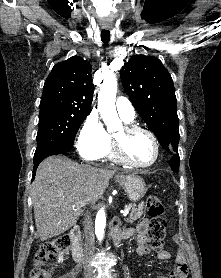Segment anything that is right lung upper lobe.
Returning <instances> with one entry per match:
<instances>
[{
	"mask_svg": "<svg viewBox=\"0 0 221 278\" xmlns=\"http://www.w3.org/2000/svg\"><path fill=\"white\" fill-rule=\"evenodd\" d=\"M91 70V65L79 56L56 64L45 81L40 111L89 114L94 91Z\"/></svg>",
	"mask_w": 221,
	"mask_h": 278,
	"instance_id": "1",
	"label": "right lung upper lobe"
}]
</instances>
